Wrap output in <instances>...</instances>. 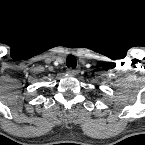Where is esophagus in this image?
<instances>
[{"label": "esophagus", "mask_w": 145, "mask_h": 145, "mask_svg": "<svg viewBox=\"0 0 145 145\" xmlns=\"http://www.w3.org/2000/svg\"><path fill=\"white\" fill-rule=\"evenodd\" d=\"M79 69H68V73L71 74V75H76L79 73Z\"/></svg>", "instance_id": "esophagus-1"}]
</instances>
